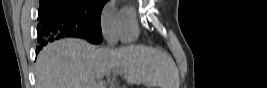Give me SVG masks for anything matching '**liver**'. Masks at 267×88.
I'll return each instance as SVG.
<instances>
[{
	"instance_id": "obj_1",
	"label": "liver",
	"mask_w": 267,
	"mask_h": 88,
	"mask_svg": "<svg viewBox=\"0 0 267 88\" xmlns=\"http://www.w3.org/2000/svg\"><path fill=\"white\" fill-rule=\"evenodd\" d=\"M111 71L127 83L148 88H179V72L166 53L145 46L97 48L86 41L66 38L45 46L35 65L37 88H105L96 78Z\"/></svg>"
}]
</instances>
